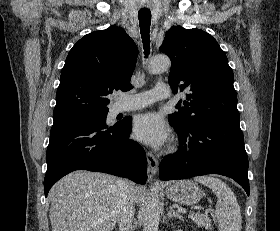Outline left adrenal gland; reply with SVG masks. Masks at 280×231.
<instances>
[{
  "label": "left adrenal gland",
  "instance_id": "left-adrenal-gland-1",
  "mask_svg": "<svg viewBox=\"0 0 280 231\" xmlns=\"http://www.w3.org/2000/svg\"><path fill=\"white\" fill-rule=\"evenodd\" d=\"M167 215H168V219H172V217H177V219H183V215H180V213L174 211L172 205H170Z\"/></svg>",
  "mask_w": 280,
  "mask_h": 231
}]
</instances>
